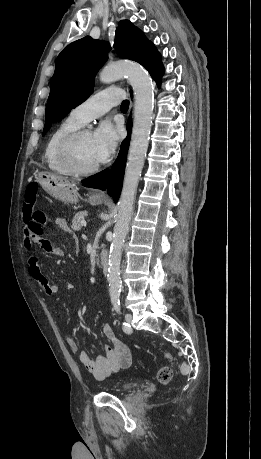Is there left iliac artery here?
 <instances>
[{
	"instance_id": "1",
	"label": "left iliac artery",
	"mask_w": 261,
	"mask_h": 459,
	"mask_svg": "<svg viewBox=\"0 0 261 459\" xmlns=\"http://www.w3.org/2000/svg\"><path fill=\"white\" fill-rule=\"evenodd\" d=\"M113 305H114V308H115L116 312H117L118 314H121V307H120V302H119V300H113ZM122 328H123V331H124L125 333H128V334H129V333L132 332L131 326H130L128 323H126V322H123V323H122Z\"/></svg>"
}]
</instances>
